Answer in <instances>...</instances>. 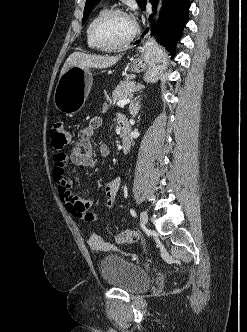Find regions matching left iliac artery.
<instances>
[{"mask_svg":"<svg viewBox=\"0 0 247 332\" xmlns=\"http://www.w3.org/2000/svg\"><path fill=\"white\" fill-rule=\"evenodd\" d=\"M130 213H131L132 216L136 217V212H135L134 209H130Z\"/></svg>","mask_w":247,"mask_h":332,"instance_id":"1","label":"left iliac artery"}]
</instances>
